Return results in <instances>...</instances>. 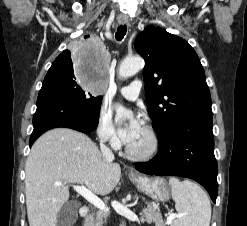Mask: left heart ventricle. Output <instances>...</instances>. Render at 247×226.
Returning <instances> with one entry per match:
<instances>
[{"mask_svg":"<svg viewBox=\"0 0 247 226\" xmlns=\"http://www.w3.org/2000/svg\"><path fill=\"white\" fill-rule=\"evenodd\" d=\"M127 145L134 153H146L151 147V139L145 128L143 127L139 134Z\"/></svg>","mask_w":247,"mask_h":226,"instance_id":"obj_1","label":"left heart ventricle"}]
</instances>
